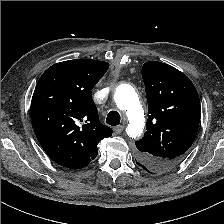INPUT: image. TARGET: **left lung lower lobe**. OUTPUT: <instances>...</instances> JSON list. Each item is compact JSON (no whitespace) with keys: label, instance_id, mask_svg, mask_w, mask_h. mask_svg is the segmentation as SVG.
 Masks as SVG:
<instances>
[{"label":"left lung lower lobe","instance_id":"obj_1","mask_svg":"<svg viewBox=\"0 0 224 224\" xmlns=\"http://www.w3.org/2000/svg\"><path fill=\"white\" fill-rule=\"evenodd\" d=\"M137 164H138L139 166H141L143 169H145L147 172L151 173L150 170L148 169V167H147L146 165H144V164H142V163H140V162H137Z\"/></svg>","mask_w":224,"mask_h":224}]
</instances>
